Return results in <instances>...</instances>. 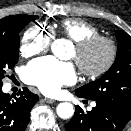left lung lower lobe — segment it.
<instances>
[{
	"instance_id": "left-lung-lower-lobe-1",
	"label": "left lung lower lobe",
	"mask_w": 131,
	"mask_h": 131,
	"mask_svg": "<svg viewBox=\"0 0 131 131\" xmlns=\"http://www.w3.org/2000/svg\"><path fill=\"white\" fill-rule=\"evenodd\" d=\"M130 120L131 118L114 106L96 101V107L87 113L77 106L74 116L65 125V129L66 131H122Z\"/></svg>"
}]
</instances>
